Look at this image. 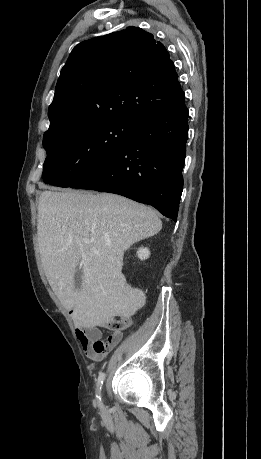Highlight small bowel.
Returning <instances> with one entry per match:
<instances>
[{
    "label": "small bowel",
    "instance_id": "1",
    "mask_svg": "<svg viewBox=\"0 0 261 459\" xmlns=\"http://www.w3.org/2000/svg\"><path fill=\"white\" fill-rule=\"evenodd\" d=\"M76 337L88 358L101 361L121 341L122 333L115 332L104 339L98 327L90 323H81L76 328Z\"/></svg>",
    "mask_w": 261,
    "mask_h": 459
}]
</instances>
